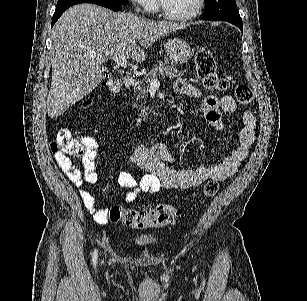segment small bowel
Returning <instances> with one entry per match:
<instances>
[{
	"mask_svg": "<svg viewBox=\"0 0 307 301\" xmlns=\"http://www.w3.org/2000/svg\"><path fill=\"white\" fill-rule=\"evenodd\" d=\"M174 91L188 97L201 96L200 89L185 80L176 81ZM236 108L237 104L231 96L210 95L206 96L202 103V111L207 122L216 130L224 128L222 115L232 114ZM242 118L244 126L238 132L237 147L221 162L208 166H200L196 169H173L167 164L168 153L162 145L152 149L143 145L137 146L130 155V161L145 171V174L138 175L136 172L125 170L119 173V185L129 190L126 201L135 200L141 193L154 194L162 189L185 190L197 187L207 179L223 181L233 177L240 164L247 158L255 141L256 116L252 111H246ZM82 142L85 147L82 159L83 177L64 153L55 152L54 157L62 172L77 186L81 200L94 220L98 224H106L108 209L97 207L93 195L85 185V183H96L99 178L95 162L98 143L93 136L82 137Z\"/></svg>",
	"mask_w": 307,
	"mask_h": 301,
	"instance_id": "obj_1",
	"label": "small bowel"
}]
</instances>
